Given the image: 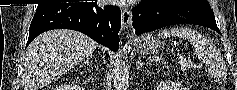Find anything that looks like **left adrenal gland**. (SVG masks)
Masks as SVG:
<instances>
[{
  "label": "left adrenal gland",
  "instance_id": "1",
  "mask_svg": "<svg viewBox=\"0 0 237 90\" xmlns=\"http://www.w3.org/2000/svg\"><path fill=\"white\" fill-rule=\"evenodd\" d=\"M142 66H144L143 60H142L141 56H138V60H137V62H136V68H137V70H139V68H142Z\"/></svg>",
  "mask_w": 237,
  "mask_h": 90
}]
</instances>
